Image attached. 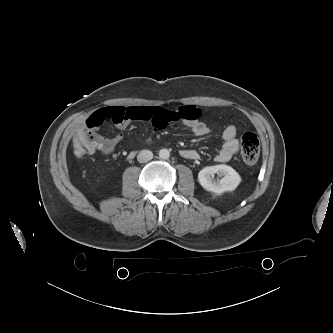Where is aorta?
<instances>
[{
    "mask_svg": "<svg viewBox=\"0 0 333 333\" xmlns=\"http://www.w3.org/2000/svg\"><path fill=\"white\" fill-rule=\"evenodd\" d=\"M159 157L163 160H166L170 157V152L168 149H161L159 151Z\"/></svg>",
    "mask_w": 333,
    "mask_h": 333,
    "instance_id": "obj_1",
    "label": "aorta"
}]
</instances>
